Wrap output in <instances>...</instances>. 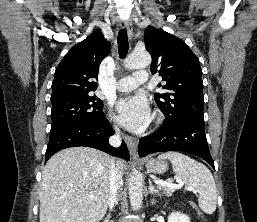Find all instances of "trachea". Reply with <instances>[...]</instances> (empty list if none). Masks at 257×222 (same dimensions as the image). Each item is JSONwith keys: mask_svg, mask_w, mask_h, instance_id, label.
I'll return each instance as SVG.
<instances>
[{"mask_svg": "<svg viewBox=\"0 0 257 222\" xmlns=\"http://www.w3.org/2000/svg\"><path fill=\"white\" fill-rule=\"evenodd\" d=\"M129 50L128 36L126 29H121L118 32V51L120 58L123 59Z\"/></svg>", "mask_w": 257, "mask_h": 222, "instance_id": "trachea-1", "label": "trachea"}]
</instances>
